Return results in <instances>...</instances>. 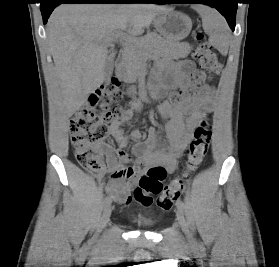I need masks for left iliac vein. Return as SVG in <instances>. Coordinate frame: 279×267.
I'll return each instance as SVG.
<instances>
[{
	"label": "left iliac vein",
	"mask_w": 279,
	"mask_h": 267,
	"mask_svg": "<svg viewBox=\"0 0 279 267\" xmlns=\"http://www.w3.org/2000/svg\"><path fill=\"white\" fill-rule=\"evenodd\" d=\"M177 220L182 228V231L184 232L185 236L187 237V239L189 241H192V233L190 232L188 223L184 217L182 210H180V209L177 211Z\"/></svg>",
	"instance_id": "left-iliac-vein-1"
}]
</instances>
